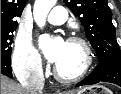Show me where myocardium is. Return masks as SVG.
I'll return each instance as SVG.
<instances>
[{
  "instance_id": "f54148a6",
  "label": "myocardium",
  "mask_w": 121,
  "mask_h": 94,
  "mask_svg": "<svg viewBox=\"0 0 121 94\" xmlns=\"http://www.w3.org/2000/svg\"><path fill=\"white\" fill-rule=\"evenodd\" d=\"M68 43L77 44L82 48L84 61L81 69L72 75H63L56 65L53 67L55 78L62 83H73L82 80L87 76L93 63V55L90 45L79 36H71L67 39Z\"/></svg>"
}]
</instances>
